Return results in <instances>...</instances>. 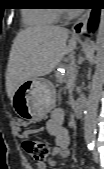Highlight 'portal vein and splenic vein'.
<instances>
[{"mask_svg":"<svg viewBox=\"0 0 104 169\" xmlns=\"http://www.w3.org/2000/svg\"><path fill=\"white\" fill-rule=\"evenodd\" d=\"M71 75L75 76L77 74V68L73 67L70 69Z\"/></svg>","mask_w":104,"mask_h":169,"instance_id":"1","label":"portal vein and splenic vein"}]
</instances>
